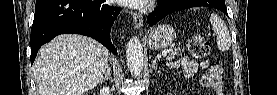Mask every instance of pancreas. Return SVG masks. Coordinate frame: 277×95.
<instances>
[{
  "mask_svg": "<svg viewBox=\"0 0 277 95\" xmlns=\"http://www.w3.org/2000/svg\"><path fill=\"white\" fill-rule=\"evenodd\" d=\"M176 55H177V48L172 47V48L170 49V52H169L168 56L166 57V59H167V60H172V59L175 58Z\"/></svg>",
  "mask_w": 277,
  "mask_h": 95,
  "instance_id": "pancreas-1",
  "label": "pancreas"
}]
</instances>
